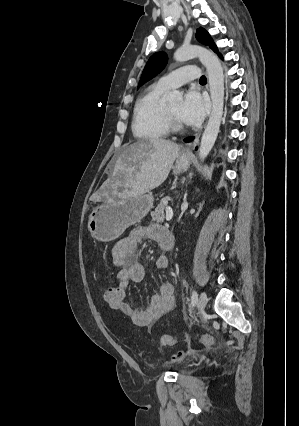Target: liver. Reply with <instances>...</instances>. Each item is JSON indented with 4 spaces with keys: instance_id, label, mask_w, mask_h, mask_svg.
Returning <instances> with one entry per match:
<instances>
[{
    "instance_id": "liver-1",
    "label": "liver",
    "mask_w": 299,
    "mask_h": 426,
    "mask_svg": "<svg viewBox=\"0 0 299 426\" xmlns=\"http://www.w3.org/2000/svg\"><path fill=\"white\" fill-rule=\"evenodd\" d=\"M179 151V145L161 138L140 140L124 147L112 175L124 181L121 198L144 194L160 186L168 177Z\"/></svg>"
}]
</instances>
